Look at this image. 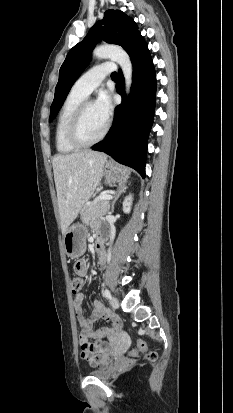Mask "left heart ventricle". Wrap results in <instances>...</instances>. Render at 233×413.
Returning a JSON list of instances; mask_svg holds the SVG:
<instances>
[{
  "instance_id": "left-heart-ventricle-1",
  "label": "left heart ventricle",
  "mask_w": 233,
  "mask_h": 413,
  "mask_svg": "<svg viewBox=\"0 0 233 413\" xmlns=\"http://www.w3.org/2000/svg\"><path fill=\"white\" fill-rule=\"evenodd\" d=\"M106 121L100 116L99 112L97 111L95 104L91 103L83 116L80 133L84 140H93L98 137L105 125Z\"/></svg>"
}]
</instances>
